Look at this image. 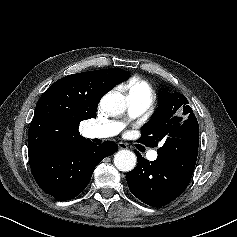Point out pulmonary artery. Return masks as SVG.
I'll use <instances>...</instances> for the list:
<instances>
[{
    "instance_id": "e3ab8cb5",
    "label": "pulmonary artery",
    "mask_w": 237,
    "mask_h": 237,
    "mask_svg": "<svg viewBox=\"0 0 237 237\" xmlns=\"http://www.w3.org/2000/svg\"><path fill=\"white\" fill-rule=\"evenodd\" d=\"M128 111L130 117H136L142 114L151 105L152 98L149 96H137L129 94L127 97ZM124 123L119 121H110L105 124L91 125L87 128L86 134L89 138H109L119 134L123 128ZM150 160L157 158L156 151H151L148 154Z\"/></svg>"
}]
</instances>
